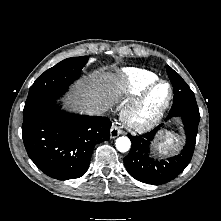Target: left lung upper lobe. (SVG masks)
<instances>
[{
  "label": "left lung upper lobe",
  "mask_w": 221,
  "mask_h": 221,
  "mask_svg": "<svg viewBox=\"0 0 221 221\" xmlns=\"http://www.w3.org/2000/svg\"><path fill=\"white\" fill-rule=\"evenodd\" d=\"M166 71H167V74H168V77H169L171 83H173V82H185L181 78V76L178 73H176L171 67L166 66ZM197 112L199 113V110H197ZM197 115L200 117V114H195L194 116H197Z\"/></svg>",
  "instance_id": "5c2ea615"
}]
</instances>
